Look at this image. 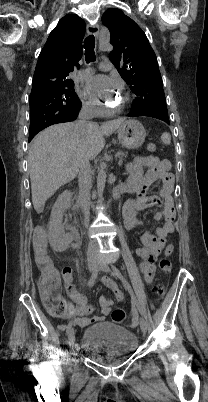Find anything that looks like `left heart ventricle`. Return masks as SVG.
Here are the masks:
<instances>
[{"mask_svg": "<svg viewBox=\"0 0 208 402\" xmlns=\"http://www.w3.org/2000/svg\"><path fill=\"white\" fill-rule=\"evenodd\" d=\"M100 95H102V94H99V96ZM104 100H107V101H115V102H118L119 100H120V98H114V97H112V96H110V95H104V98H103Z\"/></svg>", "mask_w": 208, "mask_h": 402, "instance_id": "b2bd125f", "label": "left heart ventricle"}]
</instances>
